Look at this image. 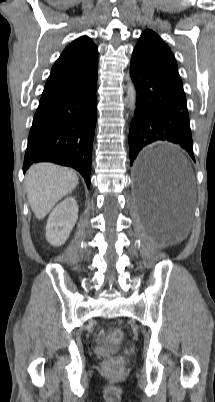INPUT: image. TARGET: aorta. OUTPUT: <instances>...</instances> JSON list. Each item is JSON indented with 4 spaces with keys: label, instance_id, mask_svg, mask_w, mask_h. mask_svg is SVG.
I'll return each mask as SVG.
<instances>
[{
    "label": "aorta",
    "instance_id": "762f6f07",
    "mask_svg": "<svg viewBox=\"0 0 215 402\" xmlns=\"http://www.w3.org/2000/svg\"><path fill=\"white\" fill-rule=\"evenodd\" d=\"M127 94H128V102H129V107L130 110L132 112V114H134L135 109H136V89L134 84L131 82L128 83V89H127Z\"/></svg>",
    "mask_w": 215,
    "mask_h": 402
}]
</instances>
